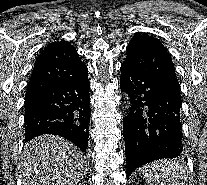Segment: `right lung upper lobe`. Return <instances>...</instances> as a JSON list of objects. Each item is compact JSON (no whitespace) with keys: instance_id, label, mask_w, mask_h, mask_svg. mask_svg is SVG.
<instances>
[{"instance_id":"1","label":"right lung upper lobe","mask_w":207,"mask_h":185,"mask_svg":"<svg viewBox=\"0 0 207 185\" xmlns=\"http://www.w3.org/2000/svg\"><path fill=\"white\" fill-rule=\"evenodd\" d=\"M86 72L87 67L68 41L53 42L44 48L35 61L25 98L76 79Z\"/></svg>"}]
</instances>
